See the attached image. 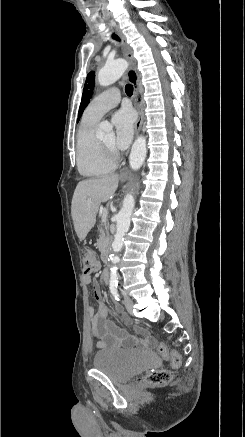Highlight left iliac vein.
I'll list each match as a JSON object with an SVG mask.
<instances>
[{
  "instance_id": "left-iliac-vein-1",
  "label": "left iliac vein",
  "mask_w": 245,
  "mask_h": 437,
  "mask_svg": "<svg viewBox=\"0 0 245 437\" xmlns=\"http://www.w3.org/2000/svg\"><path fill=\"white\" fill-rule=\"evenodd\" d=\"M122 294H123L124 299H125L124 304H125L126 310L128 311V313H130L132 315L133 314V301L130 298V296H128L126 293L123 292Z\"/></svg>"
}]
</instances>
